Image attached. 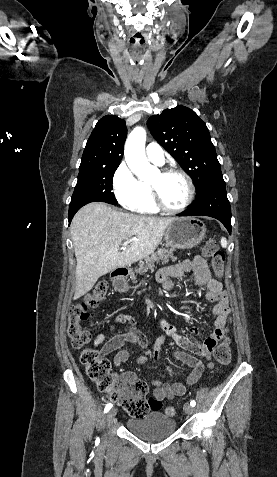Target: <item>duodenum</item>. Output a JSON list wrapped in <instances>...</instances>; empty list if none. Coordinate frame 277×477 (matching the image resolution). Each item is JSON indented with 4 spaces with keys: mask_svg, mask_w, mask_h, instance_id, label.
<instances>
[{
    "mask_svg": "<svg viewBox=\"0 0 277 477\" xmlns=\"http://www.w3.org/2000/svg\"><path fill=\"white\" fill-rule=\"evenodd\" d=\"M128 274L129 271L126 268H117L112 272V278L117 287H122V283L128 277Z\"/></svg>",
    "mask_w": 277,
    "mask_h": 477,
    "instance_id": "obj_1",
    "label": "duodenum"
}]
</instances>
